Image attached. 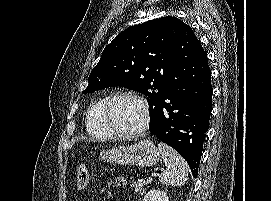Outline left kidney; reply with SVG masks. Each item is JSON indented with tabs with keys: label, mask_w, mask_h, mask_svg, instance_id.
I'll return each instance as SVG.
<instances>
[{
	"label": "left kidney",
	"mask_w": 271,
	"mask_h": 201,
	"mask_svg": "<svg viewBox=\"0 0 271 201\" xmlns=\"http://www.w3.org/2000/svg\"><path fill=\"white\" fill-rule=\"evenodd\" d=\"M143 201H169L168 196L165 192L160 190H150L144 196Z\"/></svg>",
	"instance_id": "left-kidney-1"
}]
</instances>
